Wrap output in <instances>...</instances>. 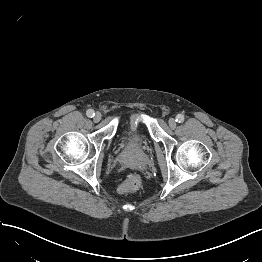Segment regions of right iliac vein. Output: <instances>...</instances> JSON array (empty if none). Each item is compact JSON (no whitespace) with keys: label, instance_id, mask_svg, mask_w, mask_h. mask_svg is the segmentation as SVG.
<instances>
[{"label":"right iliac vein","instance_id":"63e3f726","mask_svg":"<svg viewBox=\"0 0 262 262\" xmlns=\"http://www.w3.org/2000/svg\"><path fill=\"white\" fill-rule=\"evenodd\" d=\"M101 117H102L101 113L100 112H96L95 115L93 116V120L95 122H99L101 120Z\"/></svg>","mask_w":262,"mask_h":262}]
</instances>
